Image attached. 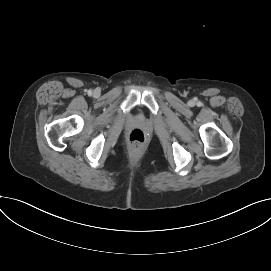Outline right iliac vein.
Masks as SVG:
<instances>
[{
  "label": "right iliac vein",
  "mask_w": 271,
  "mask_h": 271,
  "mask_svg": "<svg viewBox=\"0 0 271 271\" xmlns=\"http://www.w3.org/2000/svg\"><path fill=\"white\" fill-rule=\"evenodd\" d=\"M94 95H98V92H97V91H95V92H94Z\"/></svg>",
  "instance_id": "1"
}]
</instances>
